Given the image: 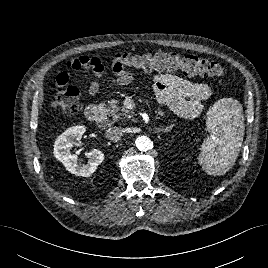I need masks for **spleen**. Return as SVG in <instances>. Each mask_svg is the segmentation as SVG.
<instances>
[{
	"label": "spleen",
	"instance_id": "spleen-1",
	"mask_svg": "<svg viewBox=\"0 0 268 268\" xmlns=\"http://www.w3.org/2000/svg\"><path fill=\"white\" fill-rule=\"evenodd\" d=\"M207 137L198 161L209 175H224L238 157L244 137V115L241 103L232 98L217 100L207 112Z\"/></svg>",
	"mask_w": 268,
	"mask_h": 268
}]
</instances>
